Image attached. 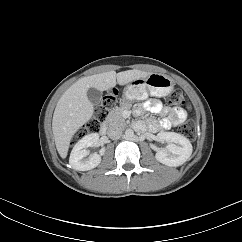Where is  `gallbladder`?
Listing matches in <instances>:
<instances>
[{
    "label": "gallbladder",
    "instance_id": "gallbladder-1",
    "mask_svg": "<svg viewBox=\"0 0 242 242\" xmlns=\"http://www.w3.org/2000/svg\"><path fill=\"white\" fill-rule=\"evenodd\" d=\"M88 99L90 100V102L95 106V107H99L102 104V98H101V94L98 90L94 89V88H90L88 90Z\"/></svg>",
    "mask_w": 242,
    "mask_h": 242
}]
</instances>
